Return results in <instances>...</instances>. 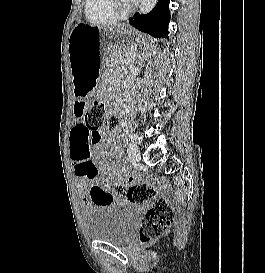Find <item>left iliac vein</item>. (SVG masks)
I'll use <instances>...</instances> for the list:
<instances>
[{
  "instance_id": "1",
  "label": "left iliac vein",
  "mask_w": 265,
  "mask_h": 273,
  "mask_svg": "<svg viewBox=\"0 0 265 273\" xmlns=\"http://www.w3.org/2000/svg\"><path fill=\"white\" fill-rule=\"evenodd\" d=\"M138 137V142L140 143L141 142V138L137 135ZM128 154H129V159L136 163L140 160V152H139V149L138 147L136 146V143L133 142L130 146H129V149H128Z\"/></svg>"
}]
</instances>
